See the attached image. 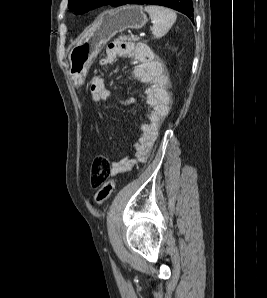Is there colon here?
<instances>
[{
	"label": "colon",
	"mask_w": 267,
	"mask_h": 298,
	"mask_svg": "<svg viewBox=\"0 0 267 298\" xmlns=\"http://www.w3.org/2000/svg\"><path fill=\"white\" fill-rule=\"evenodd\" d=\"M110 162L103 153H98L92 162L90 172V182L92 187L97 188L95 200L98 204H103L114 192L118 183L117 178L109 179Z\"/></svg>",
	"instance_id": "colon-1"
}]
</instances>
